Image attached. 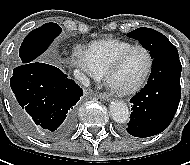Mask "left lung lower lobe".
Returning a JSON list of instances; mask_svg holds the SVG:
<instances>
[{
  "label": "left lung lower lobe",
  "instance_id": "0a47b994",
  "mask_svg": "<svg viewBox=\"0 0 190 165\" xmlns=\"http://www.w3.org/2000/svg\"><path fill=\"white\" fill-rule=\"evenodd\" d=\"M181 63L177 49L153 58L146 86L131 100L132 113L126 131L135 137H150L171 123L181 98Z\"/></svg>",
  "mask_w": 190,
  "mask_h": 165
}]
</instances>
